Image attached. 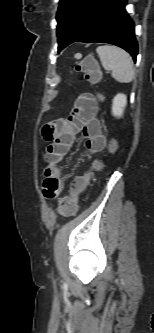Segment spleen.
Segmentation results:
<instances>
[{
  "label": "spleen",
  "mask_w": 154,
  "mask_h": 333,
  "mask_svg": "<svg viewBox=\"0 0 154 333\" xmlns=\"http://www.w3.org/2000/svg\"><path fill=\"white\" fill-rule=\"evenodd\" d=\"M96 51L103 68L111 71L115 80L121 83H129L133 80V61L126 51L111 45L99 46Z\"/></svg>",
  "instance_id": "3e777b00"
}]
</instances>
